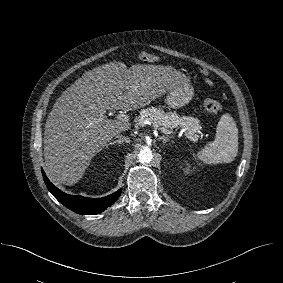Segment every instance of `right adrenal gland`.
Listing matches in <instances>:
<instances>
[{"mask_svg": "<svg viewBox=\"0 0 283 283\" xmlns=\"http://www.w3.org/2000/svg\"><path fill=\"white\" fill-rule=\"evenodd\" d=\"M114 144H122V142L120 140H115L109 143V145H114Z\"/></svg>", "mask_w": 283, "mask_h": 283, "instance_id": "2a0ac1e0", "label": "right adrenal gland"}]
</instances>
